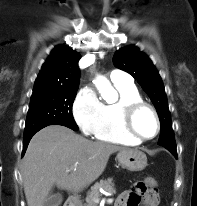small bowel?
I'll return each mask as SVG.
<instances>
[{
	"mask_svg": "<svg viewBox=\"0 0 197 206\" xmlns=\"http://www.w3.org/2000/svg\"><path fill=\"white\" fill-rule=\"evenodd\" d=\"M130 194V191L123 192L121 196L118 198L115 206H131L129 203ZM147 199L148 206H157L158 195L155 188L150 190V194H148Z\"/></svg>",
	"mask_w": 197,
	"mask_h": 206,
	"instance_id": "c3829d8e",
	"label": "small bowel"
}]
</instances>
